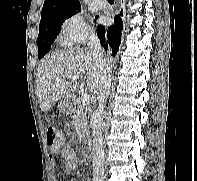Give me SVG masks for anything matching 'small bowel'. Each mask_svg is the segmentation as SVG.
Wrapping results in <instances>:
<instances>
[{
  "label": "small bowel",
  "instance_id": "obj_1",
  "mask_svg": "<svg viewBox=\"0 0 197 181\" xmlns=\"http://www.w3.org/2000/svg\"><path fill=\"white\" fill-rule=\"evenodd\" d=\"M56 154H60L62 158V166H63V171L65 173L69 174V173L74 172L77 169L78 159L72 147L65 145L61 148V150L51 151L50 166L52 168H55L57 165V161L54 157V155Z\"/></svg>",
  "mask_w": 197,
  "mask_h": 181
}]
</instances>
